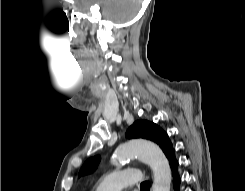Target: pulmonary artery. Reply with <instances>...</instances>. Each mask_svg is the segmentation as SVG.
<instances>
[{
	"mask_svg": "<svg viewBox=\"0 0 245 191\" xmlns=\"http://www.w3.org/2000/svg\"><path fill=\"white\" fill-rule=\"evenodd\" d=\"M140 176L141 174L137 169L126 168L105 177L95 191H121L124 188L136 185Z\"/></svg>",
	"mask_w": 245,
	"mask_h": 191,
	"instance_id": "1",
	"label": "pulmonary artery"
}]
</instances>
